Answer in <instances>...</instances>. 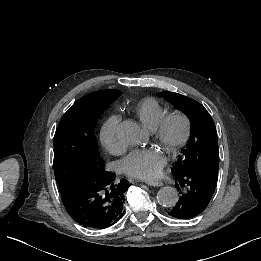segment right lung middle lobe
Wrapping results in <instances>:
<instances>
[{"mask_svg": "<svg viewBox=\"0 0 261 261\" xmlns=\"http://www.w3.org/2000/svg\"><path fill=\"white\" fill-rule=\"evenodd\" d=\"M120 95V91L86 95L61 118L54 136V174L60 189L77 173L93 177L105 169L94 129L99 116Z\"/></svg>", "mask_w": 261, "mask_h": 261, "instance_id": "1", "label": "right lung middle lobe"}]
</instances>
